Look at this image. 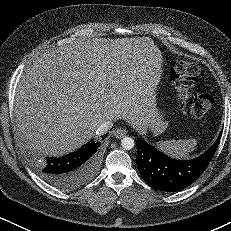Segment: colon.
<instances>
[{
	"mask_svg": "<svg viewBox=\"0 0 231 231\" xmlns=\"http://www.w3.org/2000/svg\"><path fill=\"white\" fill-rule=\"evenodd\" d=\"M198 64L190 60H177L170 71L181 110L189 115L201 116L214 104L211 94L192 91L198 80Z\"/></svg>",
	"mask_w": 231,
	"mask_h": 231,
	"instance_id": "5ec220e1",
	"label": "colon"
}]
</instances>
